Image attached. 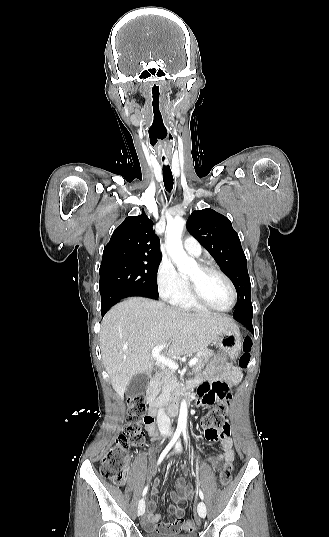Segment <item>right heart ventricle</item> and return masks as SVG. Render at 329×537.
<instances>
[{
  "label": "right heart ventricle",
  "instance_id": "1",
  "mask_svg": "<svg viewBox=\"0 0 329 537\" xmlns=\"http://www.w3.org/2000/svg\"><path fill=\"white\" fill-rule=\"evenodd\" d=\"M173 305L177 306L180 309L188 310V311H205L204 308L199 306L190 296L188 288L186 289L185 293L172 302Z\"/></svg>",
  "mask_w": 329,
  "mask_h": 537
}]
</instances>
